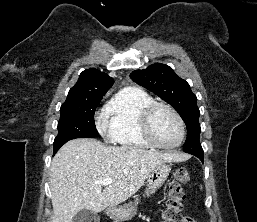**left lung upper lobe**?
<instances>
[{
  "label": "left lung upper lobe",
  "mask_w": 257,
  "mask_h": 222,
  "mask_svg": "<svg viewBox=\"0 0 257 222\" xmlns=\"http://www.w3.org/2000/svg\"><path fill=\"white\" fill-rule=\"evenodd\" d=\"M130 77L169 103L180 114L187 126L184 152L204 155L199 140L200 111L197 107V97L192 93L189 84L178 77L171 67L161 63H155L143 70H134Z\"/></svg>",
  "instance_id": "obj_1"
}]
</instances>
